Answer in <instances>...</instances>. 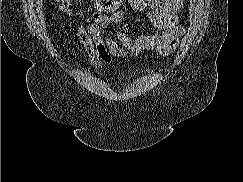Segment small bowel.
I'll list each match as a JSON object with an SVG mask.
<instances>
[{
  "mask_svg": "<svg viewBox=\"0 0 243 182\" xmlns=\"http://www.w3.org/2000/svg\"><path fill=\"white\" fill-rule=\"evenodd\" d=\"M136 11H149V18L155 28L154 33L132 38L128 33L125 14L117 10L111 13L95 12L88 16L77 29V42L88 58V69L98 70L110 64L112 58H123L128 54L138 56L143 51L153 52L157 58L170 55L185 33L180 23L179 12L184 0H128ZM114 24H122L115 36L105 31Z\"/></svg>",
  "mask_w": 243,
  "mask_h": 182,
  "instance_id": "1",
  "label": "small bowel"
}]
</instances>
